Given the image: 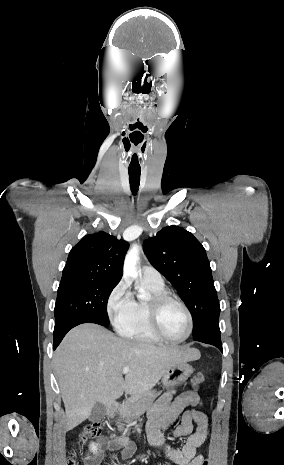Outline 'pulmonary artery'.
Listing matches in <instances>:
<instances>
[{"instance_id":"pulmonary-artery-1","label":"pulmonary artery","mask_w":284,"mask_h":465,"mask_svg":"<svg viewBox=\"0 0 284 465\" xmlns=\"http://www.w3.org/2000/svg\"><path fill=\"white\" fill-rule=\"evenodd\" d=\"M140 276L145 283L162 284L163 278L158 270L153 267L143 266L140 271Z\"/></svg>"}]
</instances>
